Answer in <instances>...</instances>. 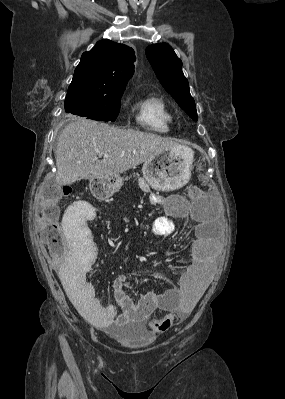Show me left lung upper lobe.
Instances as JSON below:
<instances>
[{
  "instance_id": "1",
  "label": "left lung upper lobe",
  "mask_w": 285,
  "mask_h": 399,
  "mask_svg": "<svg viewBox=\"0 0 285 399\" xmlns=\"http://www.w3.org/2000/svg\"><path fill=\"white\" fill-rule=\"evenodd\" d=\"M146 57L165 90L196 121V106L190 94L188 80L182 72V61L172 47L167 43L152 44L146 48Z\"/></svg>"
}]
</instances>
